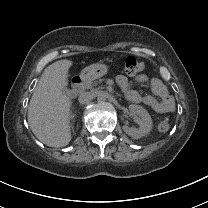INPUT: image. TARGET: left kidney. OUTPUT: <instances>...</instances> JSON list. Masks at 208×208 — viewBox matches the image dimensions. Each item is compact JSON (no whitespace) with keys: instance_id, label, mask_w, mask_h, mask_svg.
Here are the masks:
<instances>
[{"instance_id":"left-kidney-1","label":"left kidney","mask_w":208,"mask_h":208,"mask_svg":"<svg viewBox=\"0 0 208 208\" xmlns=\"http://www.w3.org/2000/svg\"><path fill=\"white\" fill-rule=\"evenodd\" d=\"M129 111L132 114H136L140 117L139 119H135L140 127L137 129L133 127L123 126V131L134 139H139L149 134L153 123L151 116L147 110L140 105L131 104L129 105Z\"/></svg>"}]
</instances>
